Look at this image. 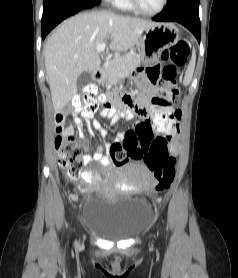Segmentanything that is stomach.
Returning a JSON list of instances; mask_svg holds the SVG:
<instances>
[{
	"label": "stomach",
	"instance_id": "obj_1",
	"mask_svg": "<svg viewBox=\"0 0 238 278\" xmlns=\"http://www.w3.org/2000/svg\"><path fill=\"white\" fill-rule=\"evenodd\" d=\"M144 34L140 36V60L143 64H152V59H159L161 53L175 45L179 40L178 28L172 23H154L151 27L145 29ZM126 75H123L121 81H124ZM107 77L98 79L99 83H105Z\"/></svg>",
	"mask_w": 238,
	"mask_h": 278
}]
</instances>
